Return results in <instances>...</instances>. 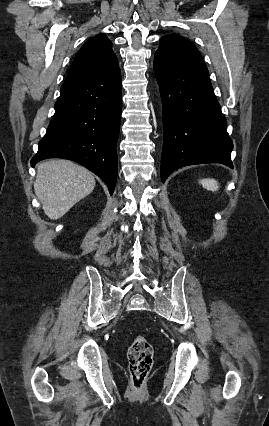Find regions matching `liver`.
I'll use <instances>...</instances> for the list:
<instances>
[{"instance_id": "6515ba94", "label": "liver", "mask_w": 269, "mask_h": 426, "mask_svg": "<svg viewBox=\"0 0 269 426\" xmlns=\"http://www.w3.org/2000/svg\"><path fill=\"white\" fill-rule=\"evenodd\" d=\"M93 174L69 160H48L37 166L34 191L52 220L65 215L95 188Z\"/></svg>"}]
</instances>
